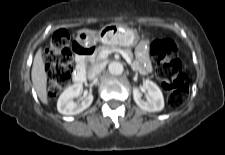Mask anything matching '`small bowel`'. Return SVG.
<instances>
[{
    "label": "small bowel",
    "mask_w": 225,
    "mask_h": 155,
    "mask_svg": "<svg viewBox=\"0 0 225 155\" xmlns=\"http://www.w3.org/2000/svg\"><path fill=\"white\" fill-rule=\"evenodd\" d=\"M136 62L135 65L142 73H148L151 70V62L147 53V47L141 43L136 49Z\"/></svg>",
    "instance_id": "1"
}]
</instances>
